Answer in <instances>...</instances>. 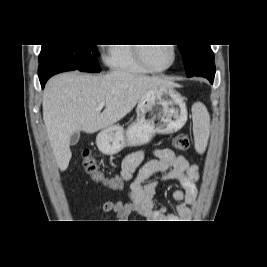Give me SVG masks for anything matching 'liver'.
<instances>
[{
    "label": "liver",
    "instance_id": "6515ba94",
    "mask_svg": "<svg viewBox=\"0 0 267 267\" xmlns=\"http://www.w3.org/2000/svg\"><path fill=\"white\" fill-rule=\"evenodd\" d=\"M170 79L115 71L93 76L79 72L59 74L46 85L43 120L57 166L65 171L75 132L94 133L114 125L150 90L177 87ZM105 102L100 112L98 104Z\"/></svg>",
    "mask_w": 267,
    "mask_h": 267
}]
</instances>
